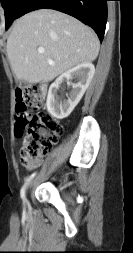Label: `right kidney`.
<instances>
[{"label": "right kidney", "mask_w": 133, "mask_h": 253, "mask_svg": "<svg viewBox=\"0 0 133 253\" xmlns=\"http://www.w3.org/2000/svg\"><path fill=\"white\" fill-rule=\"evenodd\" d=\"M94 72L92 63H81L65 72L50 86L46 105L51 116L63 119L71 114L88 88ZM72 79H75L74 83L71 82ZM65 81H70L69 84L72 86L67 99L57 95L60 85Z\"/></svg>", "instance_id": "right-kidney-1"}]
</instances>
